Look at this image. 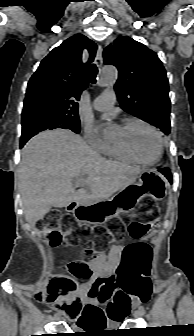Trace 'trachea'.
<instances>
[{"mask_svg": "<svg viewBox=\"0 0 194 336\" xmlns=\"http://www.w3.org/2000/svg\"><path fill=\"white\" fill-rule=\"evenodd\" d=\"M98 73V69L95 64L90 65L88 68V77L92 83L96 82V76Z\"/></svg>", "mask_w": 194, "mask_h": 336, "instance_id": "1", "label": "trachea"}]
</instances>
